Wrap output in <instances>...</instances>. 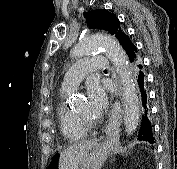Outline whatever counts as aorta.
<instances>
[{
    "instance_id": "1",
    "label": "aorta",
    "mask_w": 177,
    "mask_h": 169,
    "mask_svg": "<svg viewBox=\"0 0 177 169\" xmlns=\"http://www.w3.org/2000/svg\"><path fill=\"white\" fill-rule=\"evenodd\" d=\"M104 49L106 56L112 61L122 84V101L124 105L125 132L132 135L139 122V103L126 54L119 43L110 36L91 35L82 39L71 52L72 58H80Z\"/></svg>"
}]
</instances>
